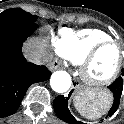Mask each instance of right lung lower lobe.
<instances>
[{
  "mask_svg": "<svg viewBox=\"0 0 124 124\" xmlns=\"http://www.w3.org/2000/svg\"><path fill=\"white\" fill-rule=\"evenodd\" d=\"M37 28L35 23L0 25V118L18 109L30 85L51 76L47 67L27 62L22 55L23 42Z\"/></svg>",
  "mask_w": 124,
  "mask_h": 124,
  "instance_id": "98d812e1",
  "label": "right lung lower lobe"
}]
</instances>
